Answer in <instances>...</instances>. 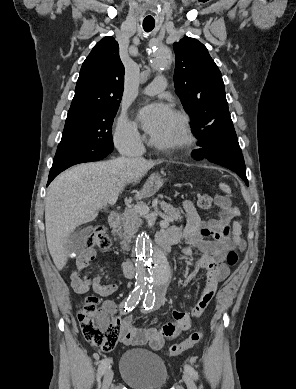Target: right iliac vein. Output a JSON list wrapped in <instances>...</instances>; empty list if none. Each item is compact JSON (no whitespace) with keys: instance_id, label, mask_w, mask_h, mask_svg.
I'll return each instance as SVG.
<instances>
[{"instance_id":"63e3f726","label":"right iliac vein","mask_w":296,"mask_h":389,"mask_svg":"<svg viewBox=\"0 0 296 389\" xmlns=\"http://www.w3.org/2000/svg\"><path fill=\"white\" fill-rule=\"evenodd\" d=\"M112 379H113V371L111 369H108L105 372L103 377L102 389H108L112 383Z\"/></svg>"}]
</instances>
